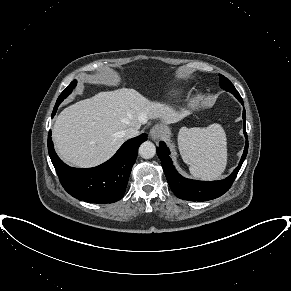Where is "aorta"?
Returning a JSON list of instances; mask_svg holds the SVG:
<instances>
[{"label":"aorta","mask_w":291,"mask_h":291,"mask_svg":"<svg viewBox=\"0 0 291 291\" xmlns=\"http://www.w3.org/2000/svg\"><path fill=\"white\" fill-rule=\"evenodd\" d=\"M156 154V147L151 141H145L139 147V155L144 159H150Z\"/></svg>","instance_id":"1"}]
</instances>
